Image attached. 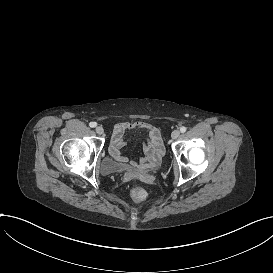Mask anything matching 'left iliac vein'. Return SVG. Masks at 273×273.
Wrapping results in <instances>:
<instances>
[{
	"mask_svg": "<svg viewBox=\"0 0 273 273\" xmlns=\"http://www.w3.org/2000/svg\"><path fill=\"white\" fill-rule=\"evenodd\" d=\"M180 136V132H179V130H174L173 132H172V138L173 139H177L178 137Z\"/></svg>",
	"mask_w": 273,
	"mask_h": 273,
	"instance_id": "4c4485c4",
	"label": "left iliac vein"
}]
</instances>
